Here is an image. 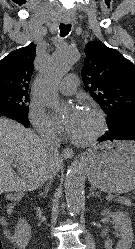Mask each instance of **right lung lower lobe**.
Instances as JSON below:
<instances>
[{"mask_svg":"<svg viewBox=\"0 0 135 249\" xmlns=\"http://www.w3.org/2000/svg\"><path fill=\"white\" fill-rule=\"evenodd\" d=\"M0 116H6L28 127L30 125L27 115H23L11 108L0 107Z\"/></svg>","mask_w":135,"mask_h":249,"instance_id":"1","label":"right lung lower lobe"}]
</instances>
